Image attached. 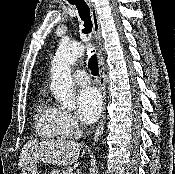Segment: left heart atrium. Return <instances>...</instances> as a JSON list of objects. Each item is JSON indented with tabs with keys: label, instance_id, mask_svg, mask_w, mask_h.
<instances>
[{
	"label": "left heart atrium",
	"instance_id": "1",
	"mask_svg": "<svg viewBox=\"0 0 175 174\" xmlns=\"http://www.w3.org/2000/svg\"><path fill=\"white\" fill-rule=\"evenodd\" d=\"M102 99L93 87H86L77 94V116L84 124L94 123L100 116Z\"/></svg>",
	"mask_w": 175,
	"mask_h": 174
}]
</instances>
